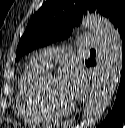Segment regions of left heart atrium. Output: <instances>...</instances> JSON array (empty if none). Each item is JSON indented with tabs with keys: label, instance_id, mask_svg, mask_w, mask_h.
Masks as SVG:
<instances>
[{
	"label": "left heart atrium",
	"instance_id": "obj_1",
	"mask_svg": "<svg viewBox=\"0 0 125 128\" xmlns=\"http://www.w3.org/2000/svg\"><path fill=\"white\" fill-rule=\"evenodd\" d=\"M59 81L70 100L74 101L80 96L86 86V79L82 68L76 63L65 66Z\"/></svg>",
	"mask_w": 125,
	"mask_h": 128
}]
</instances>
